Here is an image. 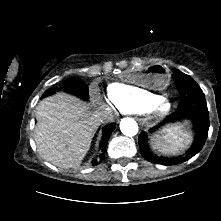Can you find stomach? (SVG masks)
<instances>
[{
	"label": "stomach",
	"instance_id": "1",
	"mask_svg": "<svg viewBox=\"0 0 221 221\" xmlns=\"http://www.w3.org/2000/svg\"><path fill=\"white\" fill-rule=\"evenodd\" d=\"M125 79L134 86L161 88L168 80V72L160 64H150L146 69L130 67L125 72Z\"/></svg>",
	"mask_w": 221,
	"mask_h": 221
}]
</instances>
